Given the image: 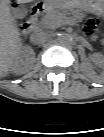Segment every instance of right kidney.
Masks as SVG:
<instances>
[{
  "instance_id": "1",
  "label": "right kidney",
  "mask_w": 104,
  "mask_h": 137,
  "mask_svg": "<svg viewBox=\"0 0 104 137\" xmlns=\"http://www.w3.org/2000/svg\"><path fill=\"white\" fill-rule=\"evenodd\" d=\"M35 58L34 51L27 46L20 47L17 54L10 59L9 68L15 74H23L25 72L24 65Z\"/></svg>"
}]
</instances>
